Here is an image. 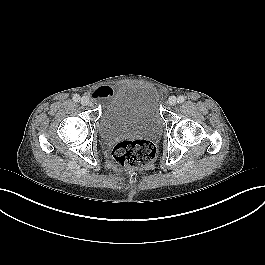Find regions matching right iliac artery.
<instances>
[{
	"label": "right iliac artery",
	"mask_w": 265,
	"mask_h": 265,
	"mask_svg": "<svg viewBox=\"0 0 265 265\" xmlns=\"http://www.w3.org/2000/svg\"><path fill=\"white\" fill-rule=\"evenodd\" d=\"M73 100H74L75 102H79V101H80V96L77 95V94H75V95L73 96Z\"/></svg>",
	"instance_id": "82829eb1"
}]
</instances>
